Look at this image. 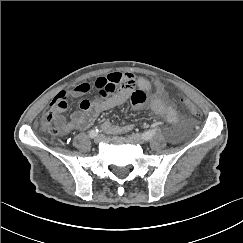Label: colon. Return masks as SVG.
Segmentation results:
<instances>
[{
    "label": "colon",
    "mask_w": 243,
    "mask_h": 243,
    "mask_svg": "<svg viewBox=\"0 0 243 243\" xmlns=\"http://www.w3.org/2000/svg\"><path fill=\"white\" fill-rule=\"evenodd\" d=\"M127 83V82H125ZM124 84V83H122ZM58 100L66 101L67 102V96L63 93L56 95V97L53 99L52 104H55ZM181 104L184 107V109L191 115L198 116L199 110L196 107V105L190 101L189 97L184 96L181 99ZM56 111L54 108L50 107L49 110L45 112L41 119V126L42 128L51 135H57L61 131L57 126L53 125V122H55L56 118Z\"/></svg>",
    "instance_id": "5ec220e1"
}]
</instances>
